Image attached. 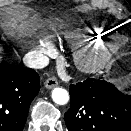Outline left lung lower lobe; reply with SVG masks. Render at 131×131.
Listing matches in <instances>:
<instances>
[{"label":"left lung lower lobe","mask_w":131,"mask_h":131,"mask_svg":"<svg viewBox=\"0 0 131 131\" xmlns=\"http://www.w3.org/2000/svg\"><path fill=\"white\" fill-rule=\"evenodd\" d=\"M69 131H131V95L107 81L88 78L70 85Z\"/></svg>","instance_id":"left-lung-lower-lobe-1"}]
</instances>
